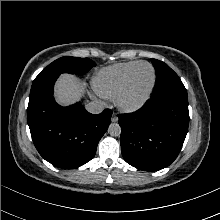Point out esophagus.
I'll return each mask as SVG.
<instances>
[{
    "label": "esophagus",
    "instance_id": "1",
    "mask_svg": "<svg viewBox=\"0 0 220 220\" xmlns=\"http://www.w3.org/2000/svg\"><path fill=\"white\" fill-rule=\"evenodd\" d=\"M111 121L112 122H117L118 121V117L115 113L112 114Z\"/></svg>",
    "mask_w": 220,
    "mask_h": 220
}]
</instances>
